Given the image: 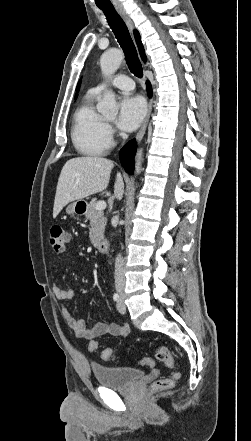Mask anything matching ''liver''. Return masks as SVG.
Returning <instances> with one entry per match:
<instances>
[{"label": "liver", "mask_w": 251, "mask_h": 441, "mask_svg": "<svg viewBox=\"0 0 251 441\" xmlns=\"http://www.w3.org/2000/svg\"><path fill=\"white\" fill-rule=\"evenodd\" d=\"M114 164L99 156L76 157L69 159L63 166L56 189L53 218L69 202L82 200L92 194L105 190ZM124 192L123 178L117 173L114 194L121 199Z\"/></svg>", "instance_id": "obj_1"}]
</instances>
